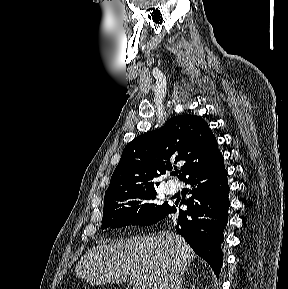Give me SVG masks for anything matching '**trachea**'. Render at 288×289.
Instances as JSON below:
<instances>
[{
  "instance_id": "3493384b",
  "label": "trachea",
  "mask_w": 288,
  "mask_h": 289,
  "mask_svg": "<svg viewBox=\"0 0 288 289\" xmlns=\"http://www.w3.org/2000/svg\"><path fill=\"white\" fill-rule=\"evenodd\" d=\"M179 172L178 171H176V172H174V175H177Z\"/></svg>"
}]
</instances>
